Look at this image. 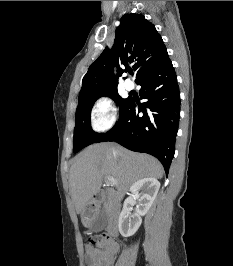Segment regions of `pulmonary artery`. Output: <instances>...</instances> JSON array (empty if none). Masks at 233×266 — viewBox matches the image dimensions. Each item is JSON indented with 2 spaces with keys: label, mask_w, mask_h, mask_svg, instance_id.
<instances>
[{
  "label": "pulmonary artery",
  "mask_w": 233,
  "mask_h": 266,
  "mask_svg": "<svg viewBox=\"0 0 233 266\" xmlns=\"http://www.w3.org/2000/svg\"><path fill=\"white\" fill-rule=\"evenodd\" d=\"M124 86H125V88L127 89V90H132L133 88H134V84H133V82L132 81H130V80H125V82H124Z\"/></svg>",
  "instance_id": "e3ab8cb5"
}]
</instances>
